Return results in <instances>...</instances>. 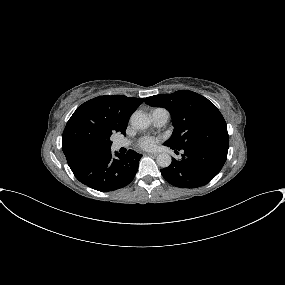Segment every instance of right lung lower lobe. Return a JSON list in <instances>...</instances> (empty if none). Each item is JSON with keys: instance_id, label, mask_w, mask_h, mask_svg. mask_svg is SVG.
I'll return each instance as SVG.
<instances>
[{"instance_id": "right-lung-lower-lobe-1", "label": "right lung lower lobe", "mask_w": 285, "mask_h": 285, "mask_svg": "<svg viewBox=\"0 0 285 285\" xmlns=\"http://www.w3.org/2000/svg\"><path fill=\"white\" fill-rule=\"evenodd\" d=\"M111 149L101 150L82 157L69 166L75 177L83 184L101 192L114 191L128 185L138 170L141 154L129 150L126 154Z\"/></svg>"}]
</instances>
